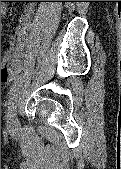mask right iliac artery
Returning <instances> with one entry per match:
<instances>
[{
  "instance_id": "right-iliac-artery-1",
  "label": "right iliac artery",
  "mask_w": 121,
  "mask_h": 169,
  "mask_svg": "<svg viewBox=\"0 0 121 169\" xmlns=\"http://www.w3.org/2000/svg\"><path fill=\"white\" fill-rule=\"evenodd\" d=\"M22 81H23V78L21 75L17 76L15 79H14V82H13V85L11 87V90H10V98H9V102L8 104L11 105L13 103V100L22 84ZM9 109H10V106H9ZM8 109V110H9Z\"/></svg>"
}]
</instances>
